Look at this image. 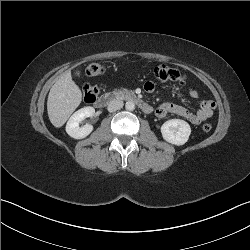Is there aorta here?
<instances>
[{"instance_id": "762f6f07", "label": "aorta", "mask_w": 250, "mask_h": 250, "mask_svg": "<svg viewBox=\"0 0 250 250\" xmlns=\"http://www.w3.org/2000/svg\"><path fill=\"white\" fill-rule=\"evenodd\" d=\"M125 108L128 110V111H133L135 109V104L133 101H127L126 102V105H125Z\"/></svg>"}]
</instances>
